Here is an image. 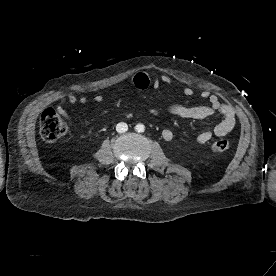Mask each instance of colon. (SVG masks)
Segmentation results:
<instances>
[{
  "mask_svg": "<svg viewBox=\"0 0 276 276\" xmlns=\"http://www.w3.org/2000/svg\"><path fill=\"white\" fill-rule=\"evenodd\" d=\"M67 131V124L62 116L52 107L45 109L40 119V135L46 142L60 139ZM229 149L227 139H217L212 144V150L223 153Z\"/></svg>",
  "mask_w": 276,
  "mask_h": 276,
  "instance_id": "obj_1",
  "label": "colon"
}]
</instances>
